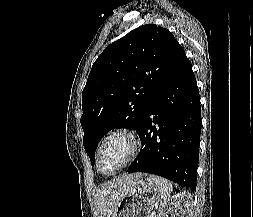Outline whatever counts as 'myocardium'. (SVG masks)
I'll use <instances>...</instances> for the list:
<instances>
[{"label":"myocardium","instance_id":"obj_1","mask_svg":"<svg viewBox=\"0 0 253 217\" xmlns=\"http://www.w3.org/2000/svg\"><path fill=\"white\" fill-rule=\"evenodd\" d=\"M116 137L124 138L129 146V151L124 161L111 173H103L99 168L100 155L106 144ZM141 148L137 132L129 127H118L111 130L99 143L95 154V168L103 176H113L129 165L139 154Z\"/></svg>","mask_w":253,"mask_h":217}]
</instances>
